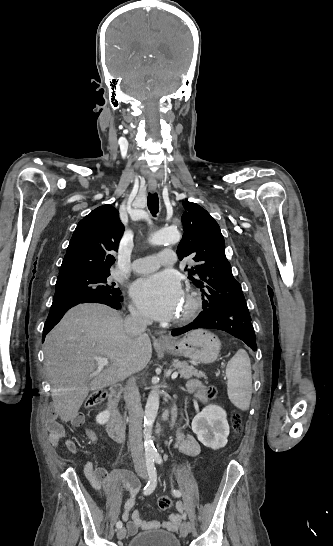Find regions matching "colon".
<instances>
[{
	"label": "colon",
	"instance_id": "obj_1",
	"mask_svg": "<svg viewBox=\"0 0 333 546\" xmlns=\"http://www.w3.org/2000/svg\"><path fill=\"white\" fill-rule=\"evenodd\" d=\"M215 395H216V389L214 387H210L206 391V397L208 398H213ZM105 397H106L105 391H102V390L95 391L89 395V397L86 400L85 406L87 408H92L98 403H100ZM231 425H232L234 434L237 435L240 432L241 425H242L241 415L237 411H234L231 415ZM171 506H172V500L170 497L162 496L159 498L158 507L161 510H168L169 508H171Z\"/></svg>",
	"mask_w": 333,
	"mask_h": 546
}]
</instances>
